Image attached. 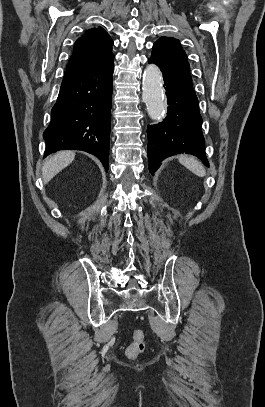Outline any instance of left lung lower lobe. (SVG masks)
Segmentation results:
<instances>
[{"label": "left lung lower lobe", "instance_id": "left-lung-lower-lobe-1", "mask_svg": "<svg viewBox=\"0 0 265 407\" xmlns=\"http://www.w3.org/2000/svg\"><path fill=\"white\" fill-rule=\"evenodd\" d=\"M148 62L156 64L152 58ZM160 69L169 107L164 121L147 129L150 172L154 174L162 160L178 153L195 155L208 166L201 130L202 117L192 83Z\"/></svg>", "mask_w": 265, "mask_h": 407}]
</instances>
